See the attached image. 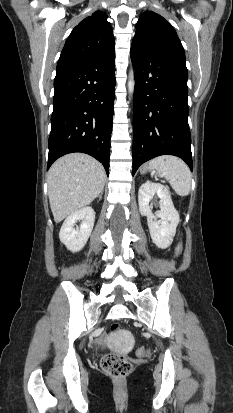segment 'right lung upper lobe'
<instances>
[{
  "mask_svg": "<svg viewBox=\"0 0 233 413\" xmlns=\"http://www.w3.org/2000/svg\"><path fill=\"white\" fill-rule=\"evenodd\" d=\"M107 15L94 12L82 20L68 37L57 68L86 61L114 50V36Z\"/></svg>",
  "mask_w": 233,
  "mask_h": 413,
  "instance_id": "obj_1",
  "label": "right lung upper lobe"
}]
</instances>
